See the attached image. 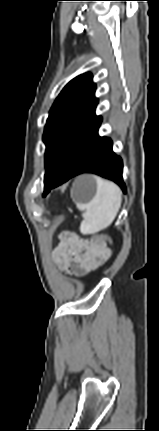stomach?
Listing matches in <instances>:
<instances>
[{"label": "stomach", "mask_w": 159, "mask_h": 431, "mask_svg": "<svg viewBox=\"0 0 159 431\" xmlns=\"http://www.w3.org/2000/svg\"><path fill=\"white\" fill-rule=\"evenodd\" d=\"M97 192V181L93 175L79 176L72 187L71 196L75 203L88 204Z\"/></svg>", "instance_id": "1"}]
</instances>
